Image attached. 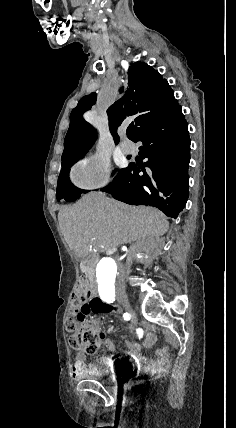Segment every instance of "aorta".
<instances>
[{"label":"aorta","mask_w":236,"mask_h":428,"mask_svg":"<svg viewBox=\"0 0 236 428\" xmlns=\"http://www.w3.org/2000/svg\"><path fill=\"white\" fill-rule=\"evenodd\" d=\"M117 276V262L110 257L102 258L96 267V281L99 294L105 295L114 292Z\"/></svg>","instance_id":"aorta-1"}]
</instances>
